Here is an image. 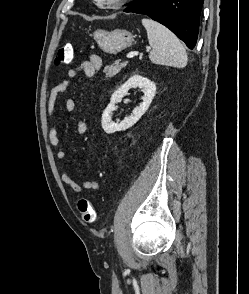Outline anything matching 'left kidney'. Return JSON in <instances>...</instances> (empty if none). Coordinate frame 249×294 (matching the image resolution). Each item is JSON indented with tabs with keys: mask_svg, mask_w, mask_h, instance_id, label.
Returning <instances> with one entry per match:
<instances>
[{
	"mask_svg": "<svg viewBox=\"0 0 249 294\" xmlns=\"http://www.w3.org/2000/svg\"><path fill=\"white\" fill-rule=\"evenodd\" d=\"M132 87H139L143 90V102L133 110L131 116L124 118L121 122H113L112 114L115 110V104L120 102ZM156 93L154 82L138 74L131 76L123 85H121L111 96L110 103L102 114V128L107 134L117 131H123L133 126L147 111Z\"/></svg>",
	"mask_w": 249,
	"mask_h": 294,
	"instance_id": "left-kidney-1",
	"label": "left kidney"
}]
</instances>
